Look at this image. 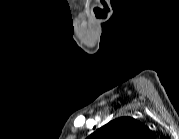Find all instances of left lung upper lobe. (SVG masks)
I'll return each mask as SVG.
<instances>
[{
  "instance_id": "5c2ea615",
  "label": "left lung upper lobe",
  "mask_w": 179,
  "mask_h": 139,
  "mask_svg": "<svg viewBox=\"0 0 179 139\" xmlns=\"http://www.w3.org/2000/svg\"><path fill=\"white\" fill-rule=\"evenodd\" d=\"M151 131L131 117L114 119L92 134L96 139H145Z\"/></svg>"
}]
</instances>
